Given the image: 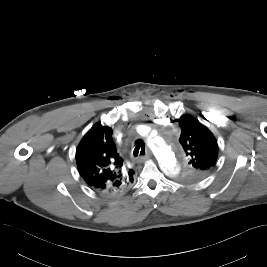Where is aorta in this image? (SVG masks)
Listing matches in <instances>:
<instances>
[{"mask_svg":"<svg viewBox=\"0 0 267 267\" xmlns=\"http://www.w3.org/2000/svg\"><path fill=\"white\" fill-rule=\"evenodd\" d=\"M149 145L155 151L156 157L166 175L169 177L178 176L180 165L175 153L164 144L155 145L149 142Z\"/></svg>","mask_w":267,"mask_h":267,"instance_id":"obj_1","label":"aorta"}]
</instances>
